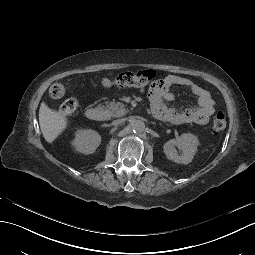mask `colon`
Here are the masks:
<instances>
[{
  "instance_id": "1",
  "label": "colon",
  "mask_w": 255,
  "mask_h": 255,
  "mask_svg": "<svg viewBox=\"0 0 255 255\" xmlns=\"http://www.w3.org/2000/svg\"><path fill=\"white\" fill-rule=\"evenodd\" d=\"M155 72L153 70H140L137 72H123L118 74L116 77L109 79L103 78L100 84L106 88L117 87V88H127V87H145L148 85L155 77ZM69 90V85L62 83H55L49 89V95L53 99L63 98L67 91ZM78 109V101L75 98L66 99L59 108V112L62 115H71ZM227 121L223 112L219 111L214 120L212 129L214 132L223 131L226 128Z\"/></svg>"
}]
</instances>
